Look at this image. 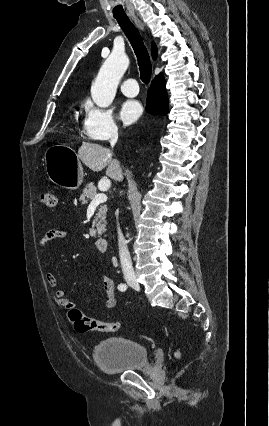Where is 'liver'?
Here are the masks:
<instances>
[{
    "mask_svg": "<svg viewBox=\"0 0 269 426\" xmlns=\"http://www.w3.org/2000/svg\"><path fill=\"white\" fill-rule=\"evenodd\" d=\"M78 158L92 171L99 172L105 167L106 175L115 181L123 180L120 163L112 159L110 149L97 143L83 142L78 150Z\"/></svg>",
    "mask_w": 269,
    "mask_h": 426,
    "instance_id": "liver-1",
    "label": "liver"
}]
</instances>
